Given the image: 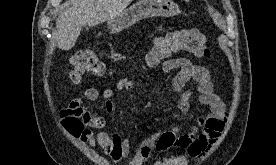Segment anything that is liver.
<instances>
[{"mask_svg": "<svg viewBox=\"0 0 276 165\" xmlns=\"http://www.w3.org/2000/svg\"><path fill=\"white\" fill-rule=\"evenodd\" d=\"M133 0H81L61 13L56 20L53 37L57 47L71 49L84 26L108 22L123 12Z\"/></svg>", "mask_w": 276, "mask_h": 165, "instance_id": "liver-1", "label": "liver"}]
</instances>
